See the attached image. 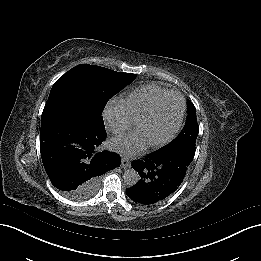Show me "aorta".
I'll return each mask as SVG.
<instances>
[{
  "mask_svg": "<svg viewBox=\"0 0 261 261\" xmlns=\"http://www.w3.org/2000/svg\"><path fill=\"white\" fill-rule=\"evenodd\" d=\"M123 179L128 187H133L139 182L140 175L135 169L129 168L124 171Z\"/></svg>",
  "mask_w": 261,
  "mask_h": 261,
  "instance_id": "1",
  "label": "aorta"
}]
</instances>
